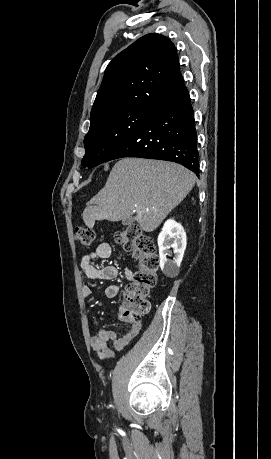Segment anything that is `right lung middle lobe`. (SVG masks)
<instances>
[{
    "label": "right lung middle lobe",
    "instance_id": "1",
    "mask_svg": "<svg viewBox=\"0 0 271 459\" xmlns=\"http://www.w3.org/2000/svg\"><path fill=\"white\" fill-rule=\"evenodd\" d=\"M154 112L149 107L137 106L91 120L89 132L84 138L86 154L82 159V166L93 168L105 162Z\"/></svg>",
    "mask_w": 271,
    "mask_h": 459
}]
</instances>
